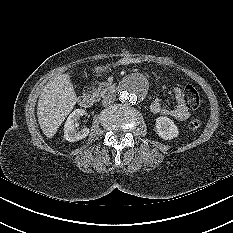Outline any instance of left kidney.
<instances>
[{"mask_svg": "<svg viewBox=\"0 0 233 233\" xmlns=\"http://www.w3.org/2000/svg\"><path fill=\"white\" fill-rule=\"evenodd\" d=\"M155 129L158 136L164 140H171L179 134L178 128L173 120L166 116L156 118Z\"/></svg>", "mask_w": 233, "mask_h": 233, "instance_id": "left-kidney-1", "label": "left kidney"}]
</instances>
